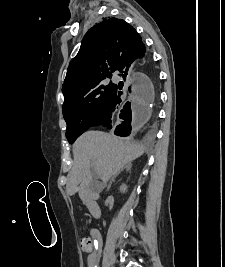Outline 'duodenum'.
Here are the masks:
<instances>
[{"mask_svg": "<svg viewBox=\"0 0 225 267\" xmlns=\"http://www.w3.org/2000/svg\"><path fill=\"white\" fill-rule=\"evenodd\" d=\"M88 209L93 217L98 218L100 215V209L98 203L95 201V196L92 195L87 202Z\"/></svg>", "mask_w": 225, "mask_h": 267, "instance_id": "410a0bca", "label": "duodenum"}]
</instances>
